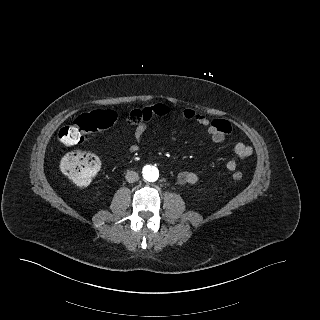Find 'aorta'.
I'll return each instance as SVG.
<instances>
[{"label": "aorta", "instance_id": "aorta-1", "mask_svg": "<svg viewBox=\"0 0 320 320\" xmlns=\"http://www.w3.org/2000/svg\"><path fill=\"white\" fill-rule=\"evenodd\" d=\"M143 176L149 182H154L159 177L158 169L152 166H146L143 169Z\"/></svg>", "mask_w": 320, "mask_h": 320}]
</instances>
